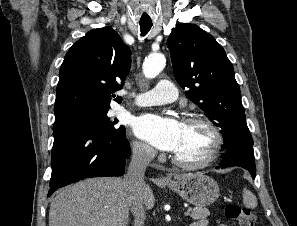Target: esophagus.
Listing matches in <instances>:
<instances>
[{"mask_svg": "<svg viewBox=\"0 0 297 226\" xmlns=\"http://www.w3.org/2000/svg\"><path fill=\"white\" fill-rule=\"evenodd\" d=\"M162 181H166L167 180V178H165V177H161L160 178Z\"/></svg>", "mask_w": 297, "mask_h": 226, "instance_id": "1", "label": "esophagus"}]
</instances>
